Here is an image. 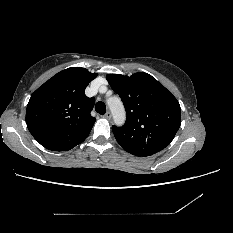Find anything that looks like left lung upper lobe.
<instances>
[{"instance_id": "obj_1", "label": "left lung upper lobe", "mask_w": 233, "mask_h": 233, "mask_svg": "<svg viewBox=\"0 0 233 233\" xmlns=\"http://www.w3.org/2000/svg\"><path fill=\"white\" fill-rule=\"evenodd\" d=\"M106 79L127 113L122 127L112 126L121 147L136 156H150L168 146L181 125L180 105L171 92L143 72L130 77L108 74Z\"/></svg>"}]
</instances>
